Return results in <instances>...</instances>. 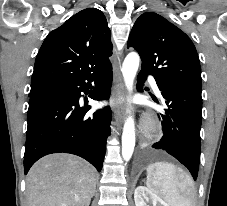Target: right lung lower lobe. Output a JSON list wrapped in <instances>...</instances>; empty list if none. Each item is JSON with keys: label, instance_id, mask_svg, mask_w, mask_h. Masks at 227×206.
I'll return each mask as SVG.
<instances>
[{"label": "right lung lower lobe", "instance_id": "98d812e1", "mask_svg": "<svg viewBox=\"0 0 227 206\" xmlns=\"http://www.w3.org/2000/svg\"><path fill=\"white\" fill-rule=\"evenodd\" d=\"M97 85L91 98L108 99L112 83V65L99 73L65 81L61 89L30 96L27 114V136L24 173L41 157L51 153L78 155L101 171L110 135L111 110L105 107L92 115L79 106L81 92L89 93L91 83Z\"/></svg>", "mask_w": 227, "mask_h": 206}]
</instances>
